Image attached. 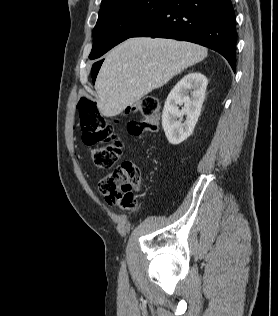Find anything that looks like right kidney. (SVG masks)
Returning a JSON list of instances; mask_svg holds the SVG:
<instances>
[{
    "mask_svg": "<svg viewBox=\"0 0 278 316\" xmlns=\"http://www.w3.org/2000/svg\"><path fill=\"white\" fill-rule=\"evenodd\" d=\"M207 85L208 80L203 74L192 72L185 75L171 90L162 114V127L170 144L178 145L192 134L201 112ZM183 103L184 108L180 111L178 105ZM184 115L186 120L181 123Z\"/></svg>",
    "mask_w": 278,
    "mask_h": 316,
    "instance_id": "obj_1",
    "label": "right kidney"
}]
</instances>
